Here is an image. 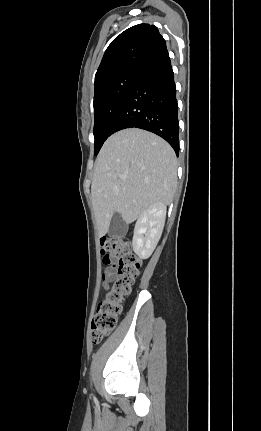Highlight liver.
<instances>
[{
	"label": "liver",
	"mask_w": 261,
	"mask_h": 431,
	"mask_svg": "<svg viewBox=\"0 0 261 431\" xmlns=\"http://www.w3.org/2000/svg\"><path fill=\"white\" fill-rule=\"evenodd\" d=\"M176 186V155L165 140L137 128L114 133L97 156L91 185L99 236L115 213L130 224L153 204L169 205Z\"/></svg>",
	"instance_id": "obj_1"
}]
</instances>
